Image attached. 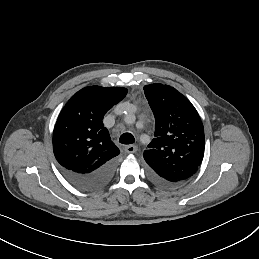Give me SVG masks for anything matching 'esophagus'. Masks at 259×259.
<instances>
[{"instance_id":"1","label":"esophagus","mask_w":259,"mask_h":259,"mask_svg":"<svg viewBox=\"0 0 259 259\" xmlns=\"http://www.w3.org/2000/svg\"><path fill=\"white\" fill-rule=\"evenodd\" d=\"M126 153L133 154L137 152L138 147L136 145H128L124 148Z\"/></svg>"}]
</instances>
